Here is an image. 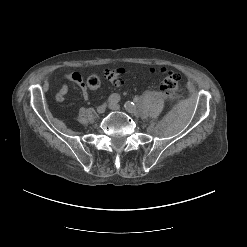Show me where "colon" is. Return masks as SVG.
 Instances as JSON below:
<instances>
[{
  "mask_svg": "<svg viewBox=\"0 0 247 247\" xmlns=\"http://www.w3.org/2000/svg\"><path fill=\"white\" fill-rule=\"evenodd\" d=\"M163 74V79L159 83V89L168 96H173L177 93L180 82V74L167 68L160 69ZM106 78L114 83L118 78L116 70H108ZM86 86L92 90L97 89L100 86V77L92 74L86 80Z\"/></svg>",
  "mask_w": 247,
  "mask_h": 247,
  "instance_id": "5ec220e1",
  "label": "colon"
}]
</instances>
